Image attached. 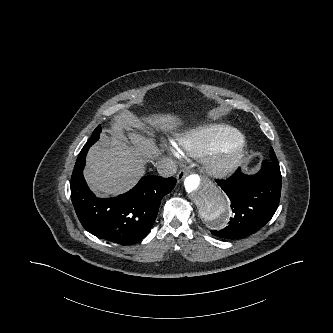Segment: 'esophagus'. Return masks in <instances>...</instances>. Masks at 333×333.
Segmentation results:
<instances>
[{
    "label": "esophagus",
    "instance_id": "1",
    "mask_svg": "<svg viewBox=\"0 0 333 333\" xmlns=\"http://www.w3.org/2000/svg\"><path fill=\"white\" fill-rule=\"evenodd\" d=\"M185 175H186V171L183 170V169L180 170V171L178 172V175H177V182H178V183H181V182L184 180Z\"/></svg>",
    "mask_w": 333,
    "mask_h": 333
}]
</instances>
